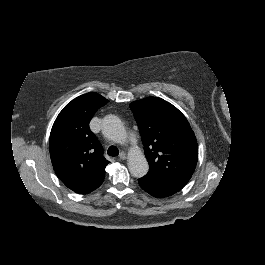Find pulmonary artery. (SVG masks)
<instances>
[{
    "instance_id": "e3ab8cb5",
    "label": "pulmonary artery",
    "mask_w": 265,
    "mask_h": 265,
    "mask_svg": "<svg viewBox=\"0 0 265 265\" xmlns=\"http://www.w3.org/2000/svg\"><path fill=\"white\" fill-rule=\"evenodd\" d=\"M115 141H117V142H122V138L121 137H115V138H113Z\"/></svg>"
}]
</instances>
